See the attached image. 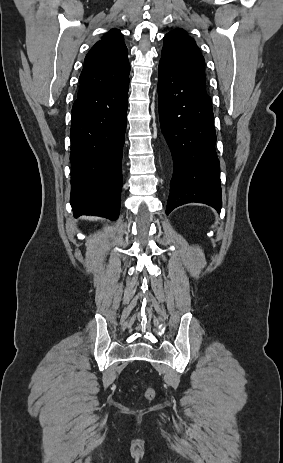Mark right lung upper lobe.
Here are the masks:
<instances>
[{"label":"right lung upper lobe","instance_id":"1","mask_svg":"<svg viewBox=\"0 0 283 463\" xmlns=\"http://www.w3.org/2000/svg\"><path fill=\"white\" fill-rule=\"evenodd\" d=\"M128 50L123 35L111 29L85 57L78 96L121 82L129 76Z\"/></svg>","mask_w":283,"mask_h":463}]
</instances>
